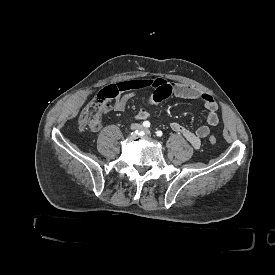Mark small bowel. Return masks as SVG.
<instances>
[{
	"instance_id": "small-bowel-1",
	"label": "small bowel",
	"mask_w": 275,
	"mask_h": 275,
	"mask_svg": "<svg viewBox=\"0 0 275 275\" xmlns=\"http://www.w3.org/2000/svg\"><path fill=\"white\" fill-rule=\"evenodd\" d=\"M124 89L116 97L112 109L115 112H123L130 99L139 91L153 89V92L146 100V106L136 113V118L140 121L146 120L151 114V109L161 103L169 96L173 95L183 99L200 100L203 102L206 110V123L199 126L196 130H191L179 121H172L169 128L182 135L194 148L198 149L201 140L208 137L211 129L219 124V108L217 102L207 93L200 89L180 83L168 82L163 78L154 77L149 79L129 80L121 83ZM89 128L97 132L101 128L99 119L89 121Z\"/></svg>"
}]
</instances>
